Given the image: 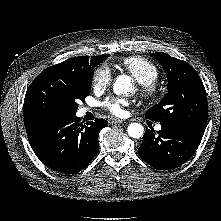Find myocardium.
<instances>
[{
    "label": "myocardium",
    "instance_id": "myocardium-1",
    "mask_svg": "<svg viewBox=\"0 0 221 221\" xmlns=\"http://www.w3.org/2000/svg\"><path fill=\"white\" fill-rule=\"evenodd\" d=\"M160 94L159 88L155 84L142 85L140 95L144 100H155Z\"/></svg>",
    "mask_w": 221,
    "mask_h": 221
}]
</instances>
